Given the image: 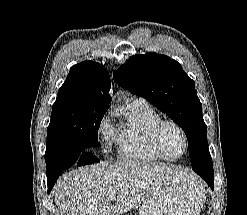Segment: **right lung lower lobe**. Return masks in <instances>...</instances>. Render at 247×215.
I'll list each match as a JSON object with an SVG mask.
<instances>
[{"mask_svg":"<svg viewBox=\"0 0 247 215\" xmlns=\"http://www.w3.org/2000/svg\"><path fill=\"white\" fill-rule=\"evenodd\" d=\"M47 164V184L48 193L61 175V173L72 165H86L99 162V159L92 155L88 150H79L76 147L60 149L49 160Z\"/></svg>","mask_w":247,"mask_h":215,"instance_id":"1","label":"right lung lower lobe"}]
</instances>
